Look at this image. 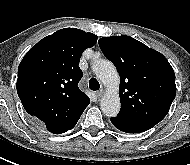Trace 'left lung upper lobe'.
Segmentation results:
<instances>
[{
  "instance_id": "5c2ea615",
  "label": "left lung upper lobe",
  "mask_w": 190,
  "mask_h": 165,
  "mask_svg": "<svg viewBox=\"0 0 190 165\" xmlns=\"http://www.w3.org/2000/svg\"><path fill=\"white\" fill-rule=\"evenodd\" d=\"M98 43L120 75L117 117L134 123H159L176 95L175 73L168 60L129 36L103 37Z\"/></svg>"
}]
</instances>
